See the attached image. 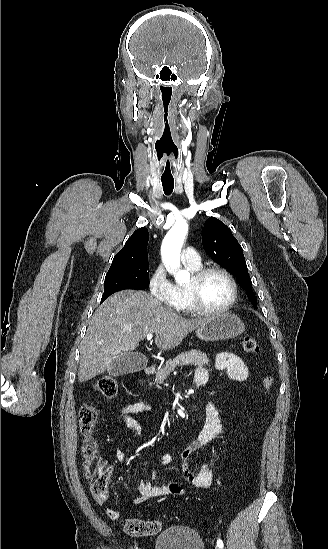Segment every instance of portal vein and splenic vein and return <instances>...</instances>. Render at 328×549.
I'll return each instance as SVG.
<instances>
[{
    "label": "portal vein and splenic vein",
    "instance_id": "obj_1",
    "mask_svg": "<svg viewBox=\"0 0 328 549\" xmlns=\"http://www.w3.org/2000/svg\"><path fill=\"white\" fill-rule=\"evenodd\" d=\"M146 339L147 341H151V339H153L152 333H149V335H146Z\"/></svg>",
    "mask_w": 328,
    "mask_h": 549
}]
</instances>
